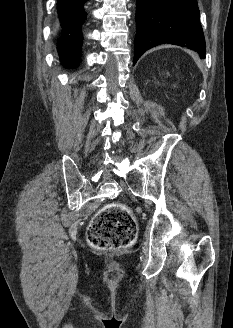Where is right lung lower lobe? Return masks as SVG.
Returning a JSON list of instances; mask_svg holds the SVG:
<instances>
[{"mask_svg":"<svg viewBox=\"0 0 233 328\" xmlns=\"http://www.w3.org/2000/svg\"><path fill=\"white\" fill-rule=\"evenodd\" d=\"M87 0H58V16L61 36L58 41V53L62 64L73 68L80 61L82 45L81 27L86 18L83 5Z\"/></svg>","mask_w":233,"mask_h":328,"instance_id":"1","label":"right lung lower lobe"}]
</instances>
